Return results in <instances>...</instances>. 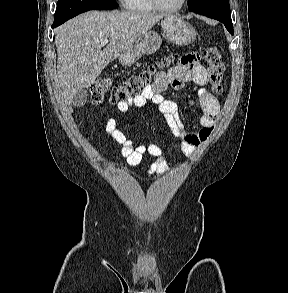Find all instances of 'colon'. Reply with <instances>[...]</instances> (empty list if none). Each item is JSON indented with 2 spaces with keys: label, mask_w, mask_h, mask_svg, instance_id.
Instances as JSON below:
<instances>
[{
  "label": "colon",
  "mask_w": 288,
  "mask_h": 293,
  "mask_svg": "<svg viewBox=\"0 0 288 293\" xmlns=\"http://www.w3.org/2000/svg\"><path fill=\"white\" fill-rule=\"evenodd\" d=\"M202 55L208 66L211 90L216 95H220L223 90L222 80L225 69L221 55L215 46L206 47L203 50ZM174 59H176L175 56L163 58L121 83L114 84L108 78L96 80L91 87L92 103L100 104L107 96H109V101L116 104L139 95L146 88L151 86L153 77L159 72V70L170 66Z\"/></svg>",
  "instance_id": "1"
}]
</instances>
